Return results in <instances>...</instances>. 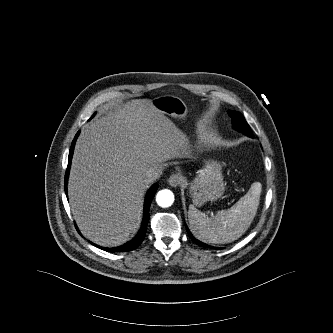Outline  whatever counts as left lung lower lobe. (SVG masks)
<instances>
[{
    "label": "left lung lower lobe",
    "mask_w": 333,
    "mask_h": 333,
    "mask_svg": "<svg viewBox=\"0 0 333 333\" xmlns=\"http://www.w3.org/2000/svg\"><path fill=\"white\" fill-rule=\"evenodd\" d=\"M187 232H188V234H189V237L192 239V241H193L194 243H196L197 245L202 246V247H210V246H208L207 244L202 243V242H200L199 240L195 239V238L192 236V234L190 233V231H189L188 228H187ZM215 249H219V248H215Z\"/></svg>",
    "instance_id": "obj_1"
}]
</instances>
